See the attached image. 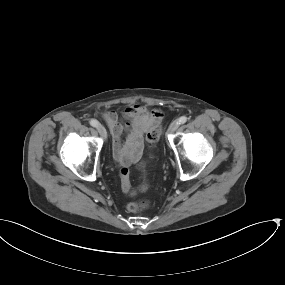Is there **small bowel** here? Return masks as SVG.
<instances>
[{"label":"small bowel","mask_w":285,"mask_h":285,"mask_svg":"<svg viewBox=\"0 0 285 285\" xmlns=\"http://www.w3.org/2000/svg\"><path fill=\"white\" fill-rule=\"evenodd\" d=\"M102 119L108 124L112 135L113 157L122 166L128 167L138 162L142 154L144 134L156 127L163 119V111L154 109L148 111L141 105L128 107L121 116L116 112L107 111L102 113ZM130 127L126 147H122L121 135L124 130L122 122ZM124 193L133 195L134 191L128 189ZM140 191H142L140 189Z\"/></svg>","instance_id":"obj_1"}]
</instances>
